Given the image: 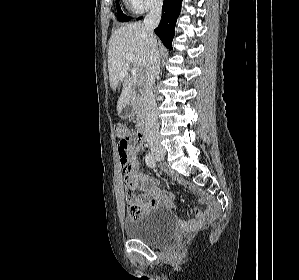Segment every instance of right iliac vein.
<instances>
[{"label":"right iliac vein","instance_id":"63e3f726","mask_svg":"<svg viewBox=\"0 0 299 280\" xmlns=\"http://www.w3.org/2000/svg\"><path fill=\"white\" fill-rule=\"evenodd\" d=\"M153 153L155 154V156L157 157H164L165 155V150L164 149H156L153 151Z\"/></svg>","mask_w":299,"mask_h":280}]
</instances>
